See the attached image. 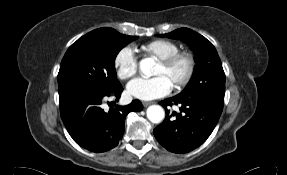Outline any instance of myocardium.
<instances>
[{
  "label": "myocardium",
  "instance_id": "f54148a6",
  "mask_svg": "<svg viewBox=\"0 0 287 175\" xmlns=\"http://www.w3.org/2000/svg\"><path fill=\"white\" fill-rule=\"evenodd\" d=\"M180 62L185 64V72L174 81L173 87L176 90L184 88L191 81L196 69V60L194 55L189 51H178L170 56L159 59V63L166 69H172Z\"/></svg>",
  "mask_w": 287,
  "mask_h": 175
}]
</instances>
